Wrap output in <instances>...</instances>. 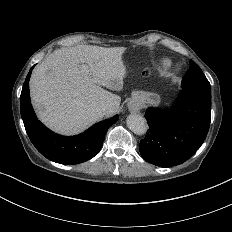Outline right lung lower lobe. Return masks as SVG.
<instances>
[{"label":"right lung lower lobe","mask_w":232,"mask_h":232,"mask_svg":"<svg viewBox=\"0 0 232 232\" xmlns=\"http://www.w3.org/2000/svg\"><path fill=\"white\" fill-rule=\"evenodd\" d=\"M34 66L26 77L20 97L21 117L31 142L42 155L60 164L74 165L93 158L100 151L108 128L119 116L101 121L76 136L65 137L50 131L37 119L30 102L28 81Z\"/></svg>","instance_id":"98d812e1"}]
</instances>
